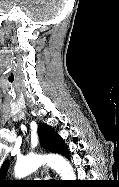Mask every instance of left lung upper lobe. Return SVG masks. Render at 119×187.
I'll use <instances>...</instances> for the list:
<instances>
[{
  "label": "left lung upper lobe",
  "instance_id": "left-lung-upper-lobe-1",
  "mask_svg": "<svg viewBox=\"0 0 119 187\" xmlns=\"http://www.w3.org/2000/svg\"><path fill=\"white\" fill-rule=\"evenodd\" d=\"M38 135L41 143L45 149L53 153H58L65 156L68 153V148L63 139L56 133V131L46 124L38 126ZM9 168V161H5L0 170V187H5L14 183L13 181L5 180Z\"/></svg>",
  "mask_w": 119,
  "mask_h": 187
}]
</instances>
